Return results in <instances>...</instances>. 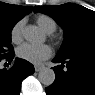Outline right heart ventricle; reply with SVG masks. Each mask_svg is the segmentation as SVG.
<instances>
[{
    "label": "right heart ventricle",
    "mask_w": 95,
    "mask_h": 95,
    "mask_svg": "<svg viewBox=\"0 0 95 95\" xmlns=\"http://www.w3.org/2000/svg\"><path fill=\"white\" fill-rule=\"evenodd\" d=\"M38 26L47 34L53 33L57 28L56 21L48 15H39L36 18Z\"/></svg>",
    "instance_id": "1"
}]
</instances>
